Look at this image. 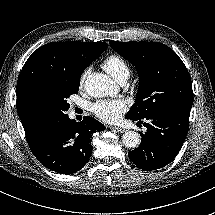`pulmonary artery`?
<instances>
[{"label":"pulmonary artery","mask_w":215,"mask_h":215,"mask_svg":"<svg viewBox=\"0 0 215 215\" xmlns=\"http://www.w3.org/2000/svg\"><path fill=\"white\" fill-rule=\"evenodd\" d=\"M127 80V77H122L120 80H119V83L120 84H124Z\"/></svg>","instance_id":"pulmonary-artery-1"}]
</instances>
